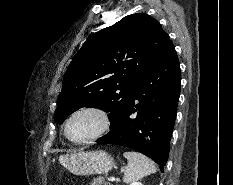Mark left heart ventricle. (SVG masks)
Instances as JSON below:
<instances>
[{
  "instance_id": "b2bd125f",
  "label": "left heart ventricle",
  "mask_w": 233,
  "mask_h": 185,
  "mask_svg": "<svg viewBox=\"0 0 233 185\" xmlns=\"http://www.w3.org/2000/svg\"><path fill=\"white\" fill-rule=\"evenodd\" d=\"M101 120L94 113H81L70 122L69 134L75 140H83L93 135L100 127Z\"/></svg>"
}]
</instances>
